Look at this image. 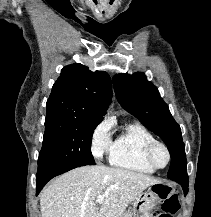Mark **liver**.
Returning <instances> with one entry per match:
<instances>
[{
  "instance_id": "obj_1",
  "label": "liver",
  "mask_w": 211,
  "mask_h": 217,
  "mask_svg": "<svg viewBox=\"0 0 211 217\" xmlns=\"http://www.w3.org/2000/svg\"><path fill=\"white\" fill-rule=\"evenodd\" d=\"M158 183L131 170L102 165L79 167L43 190L41 217H119L139 194ZM98 196L104 197L100 207Z\"/></svg>"
}]
</instances>
